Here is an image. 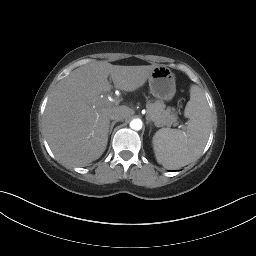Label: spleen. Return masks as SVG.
I'll use <instances>...</instances> for the list:
<instances>
[{
    "instance_id": "spleen-1",
    "label": "spleen",
    "mask_w": 256,
    "mask_h": 256,
    "mask_svg": "<svg viewBox=\"0 0 256 256\" xmlns=\"http://www.w3.org/2000/svg\"><path fill=\"white\" fill-rule=\"evenodd\" d=\"M184 114L189 118L186 132L162 128L152 140L157 162L167 169H177L197 159L208 140L210 110L204 93L197 85L190 88V100Z\"/></svg>"
}]
</instances>
